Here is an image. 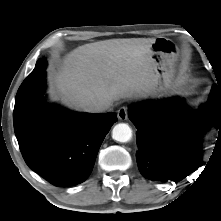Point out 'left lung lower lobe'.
Masks as SVG:
<instances>
[{
	"mask_svg": "<svg viewBox=\"0 0 221 221\" xmlns=\"http://www.w3.org/2000/svg\"><path fill=\"white\" fill-rule=\"evenodd\" d=\"M129 118L138 130L136 159L141 174L177 182L204 165L200 140L204 131L219 129L221 143V86H212L208 102L197 112L179 100L152 101L131 107Z\"/></svg>",
	"mask_w": 221,
	"mask_h": 221,
	"instance_id": "left-lung-lower-lobe-1",
	"label": "left lung lower lobe"
}]
</instances>
